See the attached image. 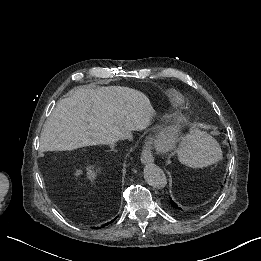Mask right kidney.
<instances>
[{"instance_id": "obj_1", "label": "right kidney", "mask_w": 261, "mask_h": 261, "mask_svg": "<svg viewBox=\"0 0 261 261\" xmlns=\"http://www.w3.org/2000/svg\"><path fill=\"white\" fill-rule=\"evenodd\" d=\"M101 171L100 168L95 169L94 166L87 167V178L89 180H94L97 174ZM82 171L77 170L75 175H80Z\"/></svg>"}]
</instances>
